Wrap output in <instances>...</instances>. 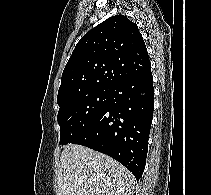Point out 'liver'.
I'll use <instances>...</instances> for the list:
<instances>
[{"mask_svg":"<svg viewBox=\"0 0 211 195\" xmlns=\"http://www.w3.org/2000/svg\"><path fill=\"white\" fill-rule=\"evenodd\" d=\"M133 174L113 158L81 145L61 153L57 195H132Z\"/></svg>","mask_w":211,"mask_h":195,"instance_id":"1","label":"liver"}]
</instances>
